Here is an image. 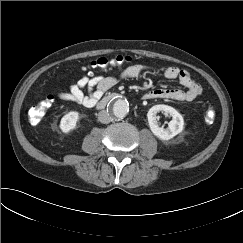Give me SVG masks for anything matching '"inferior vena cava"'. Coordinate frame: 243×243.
Instances as JSON below:
<instances>
[{
  "mask_svg": "<svg viewBox=\"0 0 243 243\" xmlns=\"http://www.w3.org/2000/svg\"><path fill=\"white\" fill-rule=\"evenodd\" d=\"M98 120L101 123L107 124L112 121V117L108 112H106L105 110H102L98 113Z\"/></svg>",
  "mask_w": 243,
  "mask_h": 243,
  "instance_id": "602c4592",
  "label": "inferior vena cava"
}]
</instances>
